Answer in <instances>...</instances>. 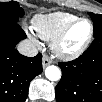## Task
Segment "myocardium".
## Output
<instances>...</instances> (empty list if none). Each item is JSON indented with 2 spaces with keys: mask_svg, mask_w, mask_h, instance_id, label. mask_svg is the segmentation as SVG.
I'll return each mask as SVG.
<instances>
[{
  "mask_svg": "<svg viewBox=\"0 0 102 102\" xmlns=\"http://www.w3.org/2000/svg\"><path fill=\"white\" fill-rule=\"evenodd\" d=\"M84 22L88 25L89 33L86 39L80 44L79 47H77L74 51L72 52H65L62 48L63 43L65 40L68 38L70 35L71 31L74 29V27L78 24ZM92 39V26L91 23L84 18H79L76 19L74 22H72L70 25H68L61 33H59L51 43L52 51L53 53L66 61L74 60L77 57H79L88 47L89 43L91 42Z\"/></svg>",
  "mask_w": 102,
  "mask_h": 102,
  "instance_id": "myocardium-1",
  "label": "myocardium"
}]
</instances>
